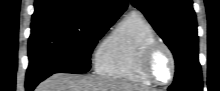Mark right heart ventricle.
Returning a JSON list of instances; mask_svg holds the SVG:
<instances>
[{"mask_svg":"<svg viewBox=\"0 0 220 91\" xmlns=\"http://www.w3.org/2000/svg\"><path fill=\"white\" fill-rule=\"evenodd\" d=\"M157 40L153 26L139 12L127 14L100 46L95 59L98 74L140 86L151 83L142 75L139 59Z\"/></svg>","mask_w":220,"mask_h":91,"instance_id":"1","label":"right heart ventricle"}]
</instances>
